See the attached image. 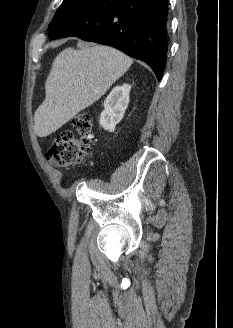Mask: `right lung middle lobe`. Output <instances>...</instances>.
<instances>
[{
  "label": "right lung middle lobe",
  "mask_w": 233,
  "mask_h": 328,
  "mask_svg": "<svg viewBox=\"0 0 233 328\" xmlns=\"http://www.w3.org/2000/svg\"><path fill=\"white\" fill-rule=\"evenodd\" d=\"M94 0H64L62 5L57 10L53 20L51 21L49 28L58 20L76 12L77 10L89 5Z\"/></svg>",
  "instance_id": "dd1d6c3e"
}]
</instances>
